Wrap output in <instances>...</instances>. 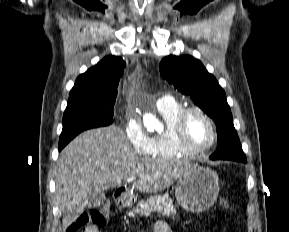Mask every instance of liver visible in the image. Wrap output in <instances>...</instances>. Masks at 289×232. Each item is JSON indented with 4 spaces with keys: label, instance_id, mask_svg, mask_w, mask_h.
Wrapping results in <instances>:
<instances>
[{
    "label": "liver",
    "instance_id": "liver-1",
    "mask_svg": "<svg viewBox=\"0 0 289 232\" xmlns=\"http://www.w3.org/2000/svg\"><path fill=\"white\" fill-rule=\"evenodd\" d=\"M191 167L186 161L138 157L116 126L81 133L61 152L55 171V197L67 229L88 204V195L119 187L137 176L135 188L157 193L170 187Z\"/></svg>",
    "mask_w": 289,
    "mask_h": 232
}]
</instances>
